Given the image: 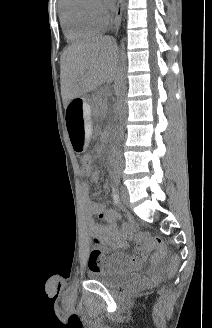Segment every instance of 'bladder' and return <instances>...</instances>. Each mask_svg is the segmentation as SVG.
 Instances as JSON below:
<instances>
[{
  "instance_id": "bladder-1",
  "label": "bladder",
  "mask_w": 212,
  "mask_h": 328,
  "mask_svg": "<svg viewBox=\"0 0 212 328\" xmlns=\"http://www.w3.org/2000/svg\"><path fill=\"white\" fill-rule=\"evenodd\" d=\"M136 276L135 273L115 270H91L88 272L91 280L100 282L110 289L122 288L131 283Z\"/></svg>"
}]
</instances>
